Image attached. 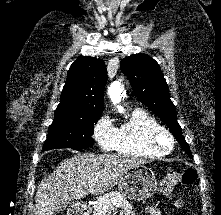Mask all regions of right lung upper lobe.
Listing matches in <instances>:
<instances>
[{"instance_id":"right-lung-upper-lobe-1","label":"right lung upper lobe","mask_w":221,"mask_h":215,"mask_svg":"<svg viewBox=\"0 0 221 215\" xmlns=\"http://www.w3.org/2000/svg\"><path fill=\"white\" fill-rule=\"evenodd\" d=\"M106 80L107 70L103 60L90 56L77 58L68 70L55 113L102 114Z\"/></svg>"}]
</instances>
